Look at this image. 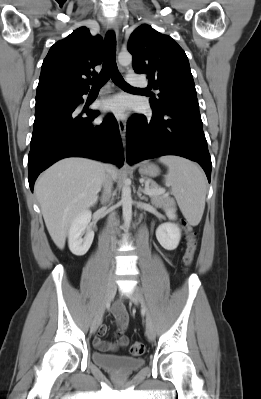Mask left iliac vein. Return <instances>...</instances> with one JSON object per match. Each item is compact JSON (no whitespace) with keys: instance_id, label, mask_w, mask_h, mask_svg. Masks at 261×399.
I'll list each match as a JSON object with an SVG mask.
<instances>
[{"instance_id":"obj_1","label":"left iliac vein","mask_w":261,"mask_h":399,"mask_svg":"<svg viewBox=\"0 0 261 399\" xmlns=\"http://www.w3.org/2000/svg\"><path fill=\"white\" fill-rule=\"evenodd\" d=\"M132 302L136 305L141 304L146 312V336L150 341L155 339V326L154 323L145 307L144 298L139 288L134 287L133 290L128 294Z\"/></svg>"}]
</instances>
